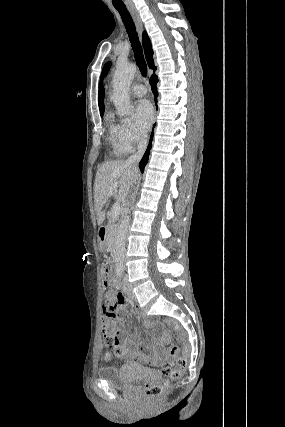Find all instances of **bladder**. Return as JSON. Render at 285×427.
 Returning a JSON list of instances; mask_svg holds the SVG:
<instances>
[{
  "mask_svg": "<svg viewBox=\"0 0 285 427\" xmlns=\"http://www.w3.org/2000/svg\"><path fill=\"white\" fill-rule=\"evenodd\" d=\"M99 379L112 387L130 389L143 378L149 376V371L134 364L102 367L97 371Z\"/></svg>",
  "mask_w": 285,
  "mask_h": 427,
  "instance_id": "31cf9c89",
  "label": "bladder"
}]
</instances>
